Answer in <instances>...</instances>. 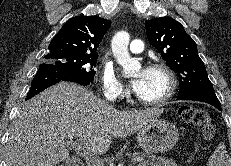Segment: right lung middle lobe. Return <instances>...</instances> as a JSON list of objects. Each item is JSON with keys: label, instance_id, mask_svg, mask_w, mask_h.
Instances as JSON below:
<instances>
[{"label": "right lung middle lobe", "instance_id": "1", "mask_svg": "<svg viewBox=\"0 0 231 166\" xmlns=\"http://www.w3.org/2000/svg\"><path fill=\"white\" fill-rule=\"evenodd\" d=\"M44 63L63 68L92 82L96 74L93 68L96 66L97 57L86 55H54L48 53L45 56Z\"/></svg>", "mask_w": 231, "mask_h": 166}]
</instances>
